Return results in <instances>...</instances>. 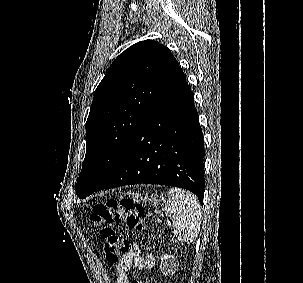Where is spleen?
Instances as JSON below:
<instances>
[{
  "label": "spleen",
  "mask_w": 303,
  "mask_h": 283,
  "mask_svg": "<svg viewBox=\"0 0 303 283\" xmlns=\"http://www.w3.org/2000/svg\"><path fill=\"white\" fill-rule=\"evenodd\" d=\"M166 215L172 217L173 233L181 242H193L201 225V206L197 198L188 191L171 188L168 192Z\"/></svg>",
  "instance_id": "obj_1"
}]
</instances>
